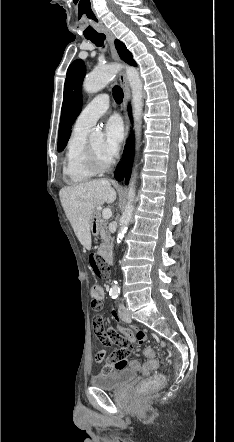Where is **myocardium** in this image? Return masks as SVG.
Listing matches in <instances>:
<instances>
[{
	"label": "myocardium",
	"mask_w": 234,
	"mask_h": 442,
	"mask_svg": "<svg viewBox=\"0 0 234 442\" xmlns=\"http://www.w3.org/2000/svg\"><path fill=\"white\" fill-rule=\"evenodd\" d=\"M86 161L88 167L94 171L95 173H102L107 171L113 163L112 159H109L108 161H101L94 149L92 148L91 144H87L86 146Z\"/></svg>",
	"instance_id": "myocardium-1"
}]
</instances>
